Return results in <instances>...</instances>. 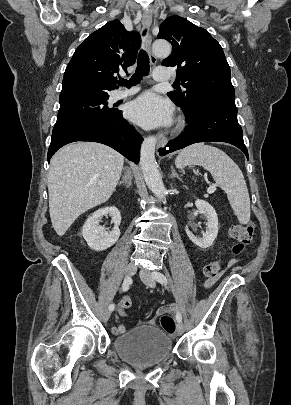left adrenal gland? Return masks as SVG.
Masks as SVG:
<instances>
[{
    "label": "left adrenal gland",
    "instance_id": "a2214340",
    "mask_svg": "<svg viewBox=\"0 0 291 405\" xmlns=\"http://www.w3.org/2000/svg\"><path fill=\"white\" fill-rule=\"evenodd\" d=\"M171 171H172V173H171V175H170V178L176 177V178H178L179 180H181V178L178 176V174L176 173V171H175V169L173 168V166H171Z\"/></svg>",
    "mask_w": 291,
    "mask_h": 405
}]
</instances>
